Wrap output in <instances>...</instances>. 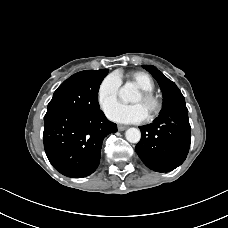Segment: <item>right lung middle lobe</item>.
<instances>
[{"label": "right lung middle lobe", "mask_w": 228, "mask_h": 228, "mask_svg": "<svg viewBox=\"0 0 228 228\" xmlns=\"http://www.w3.org/2000/svg\"><path fill=\"white\" fill-rule=\"evenodd\" d=\"M107 73L108 69H102L86 70L72 75L54 92L47 113L53 111L94 113L100 110L98 91Z\"/></svg>", "instance_id": "right-lung-middle-lobe-1"}]
</instances>
